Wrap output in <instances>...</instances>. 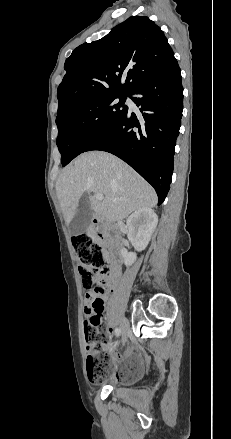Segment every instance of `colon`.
<instances>
[{"mask_svg": "<svg viewBox=\"0 0 231 439\" xmlns=\"http://www.w3.org/2000/svg\"><path fill=\"white\" fill-rule=\"evenodd\" d=\"M73 248L78 258L79 273L85 290L103 292L108 283L110 270L107 266V253L104 248L94 243L88 234H77L72 237ZM96 312H101L103 305L99 300L92 304ZM85 330V339L89 347L86 357L87 370L90 378L95 382H103L109 376L111 355L107 350L93 352L98 346H110L105 340V332L96 319H92ZM111 350V349H108Z\"/></svg>", "mask_w": 231, "mask_h": 439, "instance_id": "colon-1", "label": "colon"}]
</instances>
